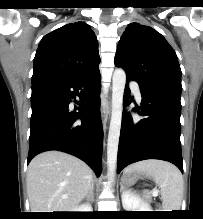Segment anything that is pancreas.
I'll return each instance as SVG.
<instances>
[{"label": "pancreas", "instance_id": "pancreas-1", "mask_svg": "<svg viewBox=\"0 0 203 219\" xmlns=\"http://www.w3.org/2000/svg\"><path fill=\"white\" fill-rule=\"evenodd\" d=\"M143 198H144L146 201H148V202H151V201H152V197H151L150 194L145 193V194L143 195Z\"/></svg>", "mask_w": 203, "mask_h": 219}]
</instances>
